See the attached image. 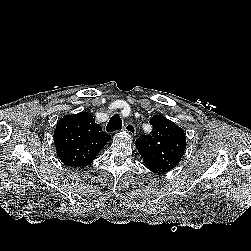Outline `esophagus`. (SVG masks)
Instances as JSON below:
<instances>
[{"label":"esophagus","instance_id":"1","mask_svg":"<svg viewBox=\"0 0 251 251\" xmlns=\"http://www.w3.org/2000/svg\"><path fill=\"white\" fill-rule=\"evenodd\" d=\"M124 130L129 133L131 136L135 135V126L133 123L128 122L126 123V125L124 126Z\"/></svg>","mask_w":251,"mask_h":251}]
</instances>
